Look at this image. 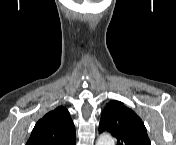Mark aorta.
Here are the masks:
<instances>
[{
    "label": "aorta",
    "mask_w": 176,
    "mask_h": 145,
    "mask_svg": "<svg viewBox=\"0 0 176 145\" xmlns=\"http://www.w3.org/2000/svg\"><path fill=\"white\" fill-rule=\"evenodd\" d=\"M96 145H114V139L110 134H102L97 139Z\"/></svg>",
    "instance_id": "1"
}]
</instances>
